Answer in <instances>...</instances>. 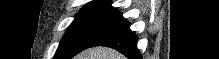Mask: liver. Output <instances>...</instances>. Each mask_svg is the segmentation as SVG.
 I'll use <instances>...</instances> for the list:
<instances>
[{"label":"liver","mask_w":219,"mask_h":59,"mask_svg":"<svg viewBox=\"0 0 219 59\" xmlns=\"http://www.w3.org/2000/svg\"><path fill=\"white\" fill-rule=\"evenodd\" d=\"M74 59H126L125 56L120 54L114 49L106 47H95L89 48L80 54H78Z\"/></svg>","instance_id":"1"}]
</instances>
